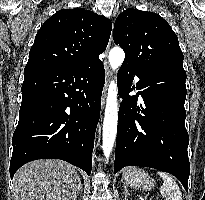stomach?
Returning a JSON list of instances; mask_svg holds the SVG:
<instances>
[{
    "mask_svg": "<svg viewBox=\"0 0 205 200\" xmlns=\"http://www.w3.org/2000/svg\"><path fill=\"white\" fill-rule=\"evenodd\" d=\"M122 179L131 188L142 189L145 191L150 190L155 185L148 173L136 167H129L123 171Z\"/></svg>",
    "mask_w": 205,
    "mask_h": 200,
    "instance_id": "stomach-1",
    "label": "stomach"
}]
</instances>
